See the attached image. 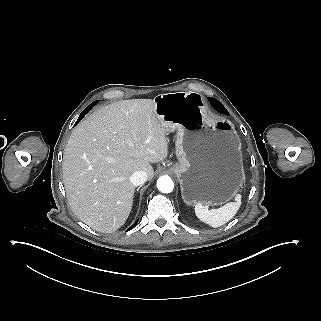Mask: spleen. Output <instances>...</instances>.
Here are the masks:
<instances>
[{
  "label": "spleen",
  "instance_id": "1",
  "mask_svg": "<svg viewBox=\"0 0 321 321\" xmlns=\"http://www.w3.org/2000/svg\"><path fill=\"white\" fill-rule=\"evenodd\" d=\"M241 195L236 196V202H229L219 209L207 210L200 203L195 206V214L199 220L211 227H219L234 217L241 204Z\"/></svg>",
  "mask_w": 321,
  "mask_h": 321
}]
</instances>
